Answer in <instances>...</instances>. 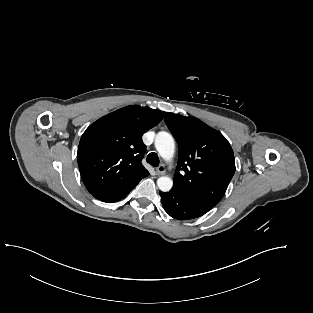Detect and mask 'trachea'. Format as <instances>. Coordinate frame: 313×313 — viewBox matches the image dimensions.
<instances>
[{
	"instance_id": "trachea-1",
	"label": "trachea",
	"mask_w": 313,
	"mask_h": 313,
	"mask_svg": "<svg viewBox=\"0 0 313 313\" xmlns=\"http://www.w3.org/2000/svg\"><path fill=\"white\" fill-rule=\"evenodd\" d=\"M147 162L154 166V167H157L159 165V157L156 153L154 152H151L148 154L147 156Z\"/></svg>"
}]
</instances>
